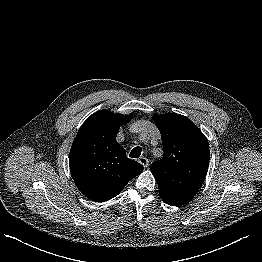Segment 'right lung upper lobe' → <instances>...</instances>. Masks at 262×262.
Returning a JSON list of instances; mask_svg holds the SVG:
<instances>
[{
	"label": "right lung upper lobe",
	"mask_w": 262,
	"mask_h": 262,
	"mask_svg": "<svg viewBox=\"0 0 262 262\" xmlns=\"http://www.w3.org/2000/svg\"><path fill=\"white\" fill-rule=\"evenodd\" d=\"M131 116L100 110L79 129L70 149V172L77 188L88 199L105 202L117 196L126 184L143 171L127 158L116 141L120 125Z\"/></svg>",
	"instance_id": "1"
}]
</instances>
